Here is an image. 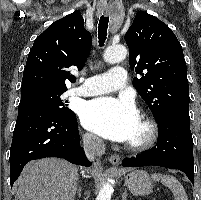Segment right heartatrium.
Masks as SVG:
<instances>
[{"instance_id": "1", "label": "right heart atrium", "mask_w": 201, "mask_h": 200, "mask_svg": "<svg viewBox=\"0 0 201 200\" xmlns=\"http://www.w3.org/2000/svg\"><path fill=\"white\" fill-rule=\"evenodd\" d=\"M83 140L84 143L91 149L98 150L101 147V141L92 133H85Z\"/></svg>"}]
</instances>
